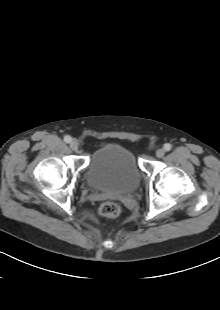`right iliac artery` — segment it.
<instances>
[{"instance_id":"1","label":"right iliac artery","mask_w":220,"mask_h":310,"mask_svg":"<svg viewBox=\"0 0 220 310\" xmlns=\"http://www.w3.org/2000/svg\"><path fill=\"white\" fill-rule=\"evenodd\" d=\"M64 141H65L66 143H70V142L72 141V138H71L69 135H66V136L64 137Z\"/></svg>"}]
</instances>
